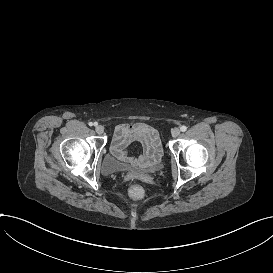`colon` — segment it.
I'll return each mask as SVG.
<instances>
[{
  "label": "colon",
  "instance_id": "5ec220e1",
  "mask_svg": "<svg viewBox=\"0 0 273 273\" xmlns=\"http://www.w3.org/2000/svg\"><path fill=\"white\" fill-rule=\"evenodd\" d=\"M127 196L130 201L134 203H139L147 199V192L143 185L139 183H134L129 186L127 190Z\"/></svg>",
  "mask_w": 273,
  "mask_h": 273
}]
</instances>
